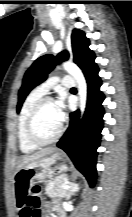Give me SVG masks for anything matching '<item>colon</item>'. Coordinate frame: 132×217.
Wrapping results in <instances>:
<instances>
[{
    "label": "colon",
    "instance_id": "1",
    "mask_svg": "<svg viewBox=\"0 0 132 217\" xmlns=\"http://www.w3.org/2000/svg\"><path fill=\"white\" fill-rule=\"evenodd\" d=\"M26 204L31 210L32 217H41V197H40V188L34 186L27 194Z\"/></svg>",
    "mask_w": 132,
    "mask_h": 217
}]
</instances>
